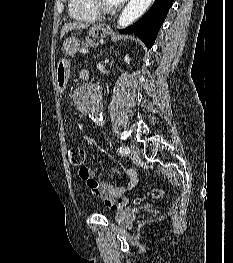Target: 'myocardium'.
<instances>
[{"label":"myocardium","instance_id":"obj_1","mask_svg":"<svg viewBox=\"0 0 233 263\" xmlns=\"http://www.w3.org/2000/svg\"><path fill=\"white\" fill-rule=\"evenodd\" d=\"M90 2L98 14H113L120 8V4H117L113 7H107L102 4L101 0H90Z\"/></svg>","mask_w":233,"mask_h":263}]
</instances>
